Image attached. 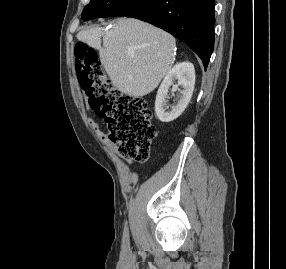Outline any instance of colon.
Returning a JSON list of instances; mask_svg holds the SVG:
<instances>
[{
    "instance_id": "5ec220e1",
    "label": "colon",
    "mask_w": 286,
    "mask_h": 269,
    "mask_svg": "<svg viewBox=\"0 0 286 269\" xmlns=\"http://www.w3.org/2000/svg\"><path fill=\"white\" fill-rule=\"evenodd\" d=\"M74 56L80 86L106 123L110 140L122 156L146 161L156 137L148 101L115 89L107 80L97 53L85 43L75 45Z\"/></svg>"
}]
</instances>
